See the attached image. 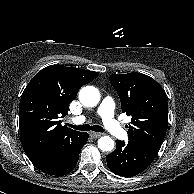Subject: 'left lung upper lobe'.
<instances>
[{"label":"left lung upper lobe","instance_id":"left-lung-upper-lobe-1","mask_svg":"<svg viewBox=\"0 0 194 194\" xmlns=\"http://www.w3.org/2000/svg\"><path fill=\"white\" fill-rule=\"evenodd\" d=\"M110 83L117 90L122 111L132 117L129 141L158 152L168 126V103L164 89L142 73L112 74Z\"/></svg>","mask_w":194,"mask_h":194}]
</instances>
